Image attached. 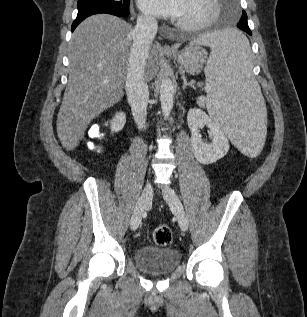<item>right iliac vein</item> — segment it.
<instances>
[{
    "label": "right iliac vein",
    "mask_w": 307,
    "mask_h": 317,
    "mask_svg": "<svg viewBox=\"0 0 307 317\" xmlns=\"http://www.w3.org/2000/svg\"><path fill=\"white\" fill-rule=\"evenodd\" d=\"M152 195H153L152 185L150 183H147L135 206V209L131 217L132 230H136L139 227L143 213L145 212V210L151 203Z\"/></svg>",
    "instance_id": "right-iliac-vein-1"
}]
</instances>
